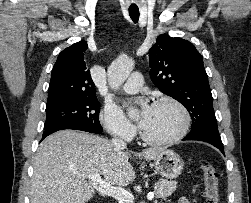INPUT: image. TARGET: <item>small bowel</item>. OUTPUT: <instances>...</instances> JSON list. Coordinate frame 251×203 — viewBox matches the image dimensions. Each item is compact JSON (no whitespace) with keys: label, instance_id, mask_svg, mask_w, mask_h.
Segmentation results:
<instances>
[{"label":"small bowel","instance_id":"small-bowel-1","mask_svg":"<svg viewBox=\"0 0 251 203\" xmlns=\"http://www.w3.org/2000/svg\"><path fill=\"white\" fill-rule=\"evenodd\" d=\"M177 203H191L187 198H180Z\"/></svg>","mask_w":251,"mask_h":203}]
</instances>
